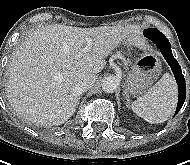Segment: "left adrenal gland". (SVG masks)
Returning a JSON list of instances; mask_svg holds the SVG:
<instances>
[{
  "instance_id": "1",
  "label": "left adrenal gland",
  "mask_w": 190,
  "mask_h": 165,
  "mask_svg": "<svg viewBox=\"0 0 190 165\" xmlns=\"http://www.w3.org/2000/svg\"><path fill=\"white\" fill-rule=\"evenodd\" d=\"M124 98L127 101L126 106L129 107L130 106V99H129V96H128L126 90H124Z\"/></svg>"
}]
</instances>
